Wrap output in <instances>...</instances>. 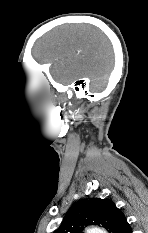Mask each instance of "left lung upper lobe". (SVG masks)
Returning a JSON list of instances; mask_svg holds the SVG:
<instances>
[{
    "label": "left lung upper lobe",
    "instance_id": "left-lung-upper-lobe-1",
    "mask_svg": "<svg viewBox=\"0 0 148 233\" xmlns=\"http://www.w3.org/2000/svg\"><path fill=\"white\" fill-rule=\"evenodd\" d=\"M87 225H101L109 233H126L131 228L111 200L96 198L74 203L54 233H82Z\"/></svg>",
    "mask_w": 148,
    "mask_h": 233
}]
</instances>
